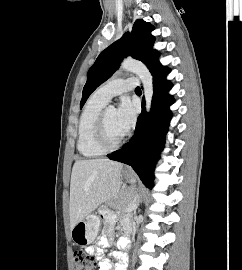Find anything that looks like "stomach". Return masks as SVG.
<instances>
[{
    "label": "stomach",
    "mask_w": 242,
    "mask_h": 270,
    "mask_svg": "<svg viewBox=\"0 0 242 270\" xmlns=\"http://www.w3.org/2000/svg\"><path fill=\"white\" fill-rule=\"evenodd\" d=\"M128 183L133 184L135 179L131 174H125ZM100 219L94 214L87 215L71 229V239L77 245L91 244L99 232Z\"/></svg>",
    "instance_id": "obj_1"
}]
</instances>
